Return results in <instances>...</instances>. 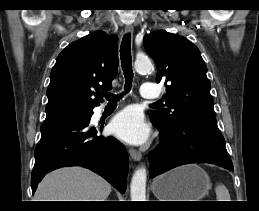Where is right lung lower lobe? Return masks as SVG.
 Masks as SVG:
<instances>
[{
	"mask_svg": "<svg viewBox=\"0 0 259 211\" xmlns=\"http://www.w3.org/2000/svg\"><path fill=\"white\" fill-rule=\"evenodd\" d=\"M92 114L43 122L41 139L35 149L32 193L48 172L73 165L93 170L121 193L125 192L127 151L116 139L97 135L98 129L89 125Z\"/></svg>",
	"mask_w": 259,
	"mask_h": 211,
	"instance_id": "98d812e1",
	"label": "right lung lower lobe"
}]
</instances>
